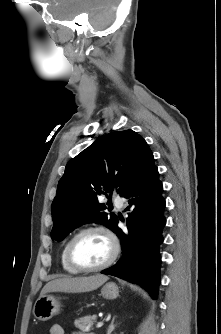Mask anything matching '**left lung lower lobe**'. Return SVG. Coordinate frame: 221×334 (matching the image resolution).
I'll return each mask as SVG.
<instances>
[{
	"instance_id": "0a47b994",
	"label": "left lung lower lobe",
	"mask_w": 221,
	"mask_h": 334,
	"mask_svg": "<svg viewBox=\"0 0 221 334\" xmlns=\"http://www.w3.org/2000/svg\"><path fill=\"white\" fill-rule=\"evenodd\" d=\"M158 169L152 159L122 197L127 199L130 213L127 218L128 233L124 234L126 257L114 266L102 271L143 286L153 298L157 296L160 283L159 271L163 243L162 229L166 224L163 211L165 200ZM118 220L113 228L119 238L122 231Z\"/></svg>"
}]
</instances>
